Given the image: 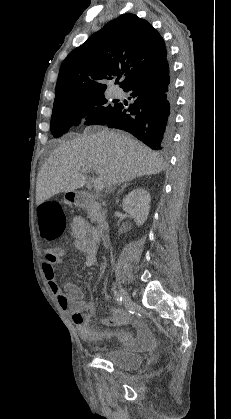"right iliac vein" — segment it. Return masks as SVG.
Segmentation results:
<instances>
[{
    "label": "right iliac vein",
    "mask_w": 231,
    "mask_h": 419,
    "mask_svg": "<svg viewBox=\"0 0 231 419\" xmlns=\"http://www.w3.org/2000/svg\"><path fill=\"white\" fill-rule=\"evenodd\" d=\"M119 292H120V296L122 297L124 305H126V306L131 305L132 301H131L128 293L126 292V290L124 288L120 287Z\"/></svg>",
    "instance_id": "1"
}]
</instances>
